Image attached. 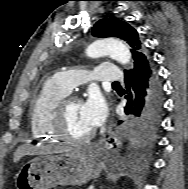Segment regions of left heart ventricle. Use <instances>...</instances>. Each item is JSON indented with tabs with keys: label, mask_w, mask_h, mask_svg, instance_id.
Listing matches in <instances>:
<instances>
[{
	"label": "left heart ventricle",
	"mask_w": 188,
	"mask_h": 189,
	"mask_svg": "<svg viewBox=\"0 0 188 189\" xmlns=\"http://www.w3.org/2000/svg\"><path fill=\"white\" fill-rule=\"evenodd\" d=\"M65 126L68 133L75 137H80L92 130L83 115V103L72 102L68 106Z\"/></svg>",
	"instance_id": "obj_1"
}]
</instances>
